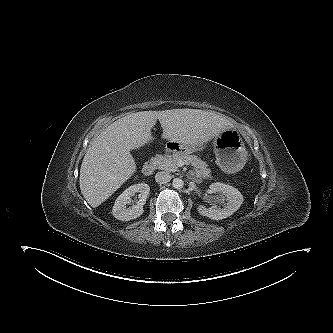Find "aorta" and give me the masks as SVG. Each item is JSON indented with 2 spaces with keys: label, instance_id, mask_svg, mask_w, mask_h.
<instances>
[{
  "label": "aorta",
  "instance_id": "obj_1",
  "mask_svg": "<svg viewBox=\"0 0 333 333\" xmlns=\"http://www.w3.org/2000/svg\"><path fill=\"white\" fill-rule=\"evenodd\" d=\"M183 185H184V182L182 181V179H179V178L174 179L172 182V186L175 189H181V188H183Z\"/></svg>",
  "mask_w": 333,
  "mask_h": 333
}]
</instances>
